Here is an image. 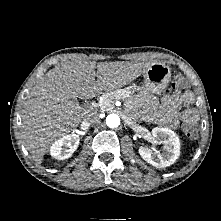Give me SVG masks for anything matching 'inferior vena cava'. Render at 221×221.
<instances>
[{
    "label": "inferior vena cava",
    "mask_w": 221,
    "mask_h": 221,
    "mask_svg": "<svg viewBox=\"0 0 221 221\" xmlns=\"http://www.w3.org/2000/svg\"><path fill=\"white\" fill-rule=\"evenodd\" d=\"M98 119H99V118H98V115H97V114H90V115H88L87 118H86V123H88V124H93V123L97 122Z\"/></svg>",
    "instance_id": "inferior-vena-cava-1"
}]
</instances>
